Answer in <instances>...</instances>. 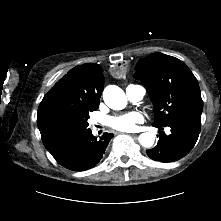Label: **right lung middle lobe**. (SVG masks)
Wrapping results in <instances>:
<instances>
[{
    "instance_id": "1",
    "label": "right lung middle lobe",
    "mask_w": 221,
    "mask_h": 221,
    "mask_svg": "<svg viewBox=\"0 0 221 221\" xmlns=\"http://www.w3.org/2000/svg\"><path fill=\"white\" fill-rule=\"evenodd\" d=\"M88 118L89 111L59 112L49 116L40 129L45 147L48 151H56L85 134L89 130Z\"/></svg>"
}]
</instances>
